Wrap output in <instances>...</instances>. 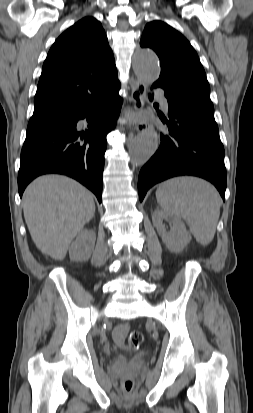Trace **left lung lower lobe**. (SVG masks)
I'll return each mask as SVG.
<instances>
[{"label":"left lung lower lobe","mask_w":253,"mask_h":413,"mask_svg":"<svg viewBox=\"0 0 253 413\" xmlns=\"http://www.w3.org/2000/svg\"><path fill=\"white\" fill-rule=\"evenodd\" d=\"M163 89L169 120L159 114L167 127L160 133L158 150L139 173L140 201L156 183L180 175H194L212 182L224 200L227 180L224 147L214 119V107L177 91ZM149 99L153 97L150 95Z\"/></svg>","instance_id":"obj_1"}]
</instances>
